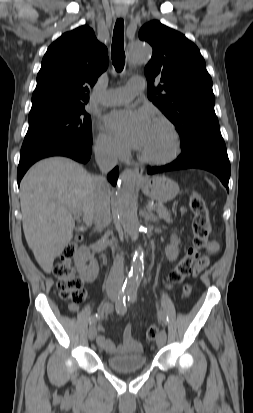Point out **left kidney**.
<instances>
[{
	"mask_svg": "<svg viewBox=\"0 0 253 413\" xmlns=\"http://www.w3.org/2000/svg\"><path fill=\"white\" fill-rule=\"evenodd\" d=\"M180 243V239L172 235L170 239V245L165 248V254L169 261H175L179 254L178 245Z\"/></svg>",
	"mask_w": 253,
	"mask_h": 413,
	"instance_id": "left-kidney-1",
	"label": "left kidney"
}]
</instances>
